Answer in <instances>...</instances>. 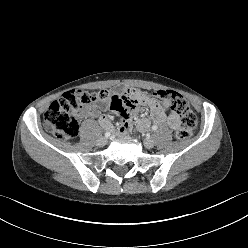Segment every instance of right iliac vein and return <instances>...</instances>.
<instances>
[{
    "instance_id": "right-iliac-vein-1",
    "label": "right iliac vein",
    "mask_w": 248,
    "mask_h": 248,
    "mask_svg": "<svg viewBox=\"0 0 248 248\" xmlns=\"http://www.w3.org/2000/svg\"><path fill=\"white\" fill-rule=\"evenodd\" d=\"M106 143H107V138H105V137H100L97 140V145L98 146H104V145H106Z\"/></svg>"
}]
</instances>
